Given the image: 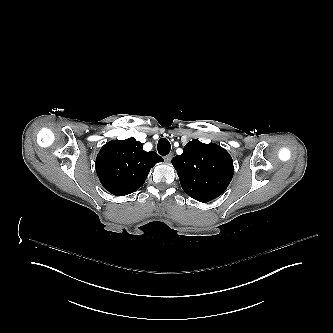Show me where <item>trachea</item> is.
<instances>
[{"mask_svg": "<svg viewBox=\"0 0 333 333\" xmlns=\"http://www.w3.org/2000/svg\"><path fill=\"white\" fill-rule=\"evenodd\" d=\"M157 149L160 155L166 156L171 150V145L167 139L162 138L158 141Z\"/></svg>", "mask_w": 333, "mask_h": 333, "instance_id": "3493384b", "label": "trachea"}]
</instances>
